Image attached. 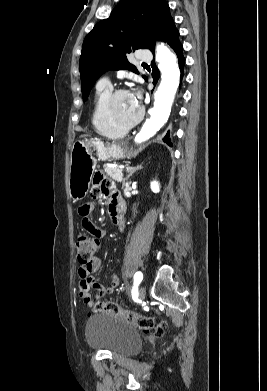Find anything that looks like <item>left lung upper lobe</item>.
Returning <instances> with one entry per match:
<instances>
[{
	"label": "left lung upper lobe",
	"instance_id": "5c2ea615",
	"mask_svg": "<svg viewBox=\"0 0 267 391\" xmlns=\"http://www.w3.org/2000/svg\"><path fill=\"white\" fill-rule=\"evenodd\" d=\"M174 26L165 0L120 1L110 17L97 23L84 39L79 62L83 101L104 72L128 69L138 73L127 54L152 50L155 40H163Z\"/></svg>",
	"mask_w": 267,
	"mask_h": 391
}]
</instances>
